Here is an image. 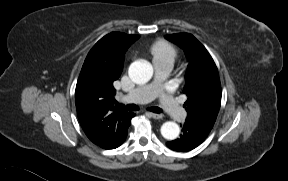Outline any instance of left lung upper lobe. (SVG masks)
I'll return each mask as SVG.
<instances>
[{"label":"left lung upper lobe","instance_id":"left-lung-upper-lobe-1","mask_svg":"<svg viewBox=\"0 0 288 181\" xmlns=\"http://www.w3.org/2000/svg\"><path fill=\"white\" fill-rule=\"evenodd\" d=\"M167 40L184 49L189 58L183 92L186 120L213 127L221 104V84L217 67L206 48L191 34L166 35Z\"/></svg>","mask_w":288,"mask_h":181}]
</instances>
